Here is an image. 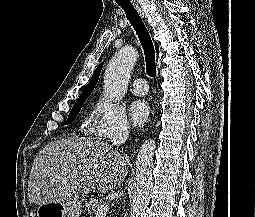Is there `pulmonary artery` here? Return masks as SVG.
Instances as JSON below:
<instances>
[{"label": "pulmonary artery", "instance_id": "pulmonary-artery-1", "mask_svg": "<svg viewBox=\"0 0 255 217\" xmlns=\"http://www.w3.org/2000/svg\"><path fill=\"white\" fill-rule=\"evenodd\" d=\"M131 91L134 95L143 96L148 92V86L144 78H137L131 85Z\"/></svg>", "mask_w": 255, "mask_h": 217}]
</instances>
